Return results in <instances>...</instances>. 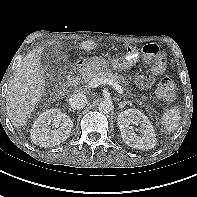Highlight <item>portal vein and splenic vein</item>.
I'll use <instances>...</instances> for the list:
<instances>
[{
  "mask_svg": "<svg viewBox=\"0 0 197 197\" xmlns=\"http://www.w3.org/2000/svg\"><path fill=\"white\" fill-rule=\"evenodd\" d=\"M100 84H108L110 86H112L115 90L118 91V93H120L121 95H123L124 91L122 89V87L115 81L111 80V79H102V78H93L89 83L88 86L90 88H96L98 87Z\"/></svg>",
  "mask_w": 197,
  "mask_h": 197,
  "instance_id": "obj_1",
  "label": "portal vein and splenic vein"
}]
</instances>
